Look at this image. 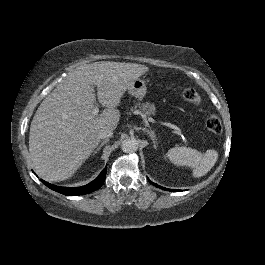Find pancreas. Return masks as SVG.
Returning <instances> with one entry per match:
<instances>
[{
    "label": "pancreas",
    "mask_w": 265,
    "mask_h": 265,
    "mask_svg": "<svg viewBox=\"0 0 265 265\" xmlns=\"http://www.w3.org/2000/svg\"><path fill=\"white\" fill-rule=\"evenodd\" d=\"M133 113L139 112L140 114L150 116L155 115V105L151 103H138L134 108H131Z\"/></svg>",
    "instance_id": "1"
}]
</instances>
